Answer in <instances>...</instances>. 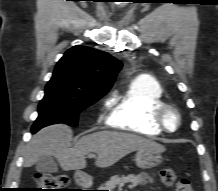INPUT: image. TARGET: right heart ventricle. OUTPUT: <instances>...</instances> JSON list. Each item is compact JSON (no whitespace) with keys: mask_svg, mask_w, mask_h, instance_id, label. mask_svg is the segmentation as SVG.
<instances>
[{"mask_svg":"<svg viewBox=\"0 0 218 191\" xmlns=\"http://www.w3.org/2000/svg\"><path fill=\"white\" fill-rule=\"evenodd\" d=\"M163 103V89L158 81L135 79L122 95L113 99L108 124L138 135L159 136L162 130L154 122V113Z\"/></svg>","mask_w":218,"mask_h":191,"instance_id":"1","label":"right heart ventricle"}]
</instances>
